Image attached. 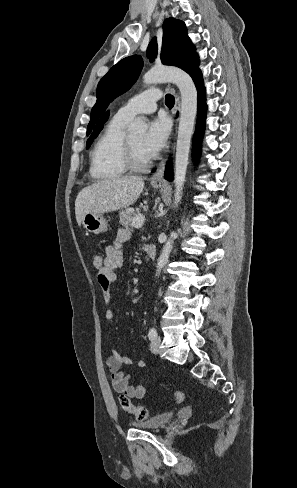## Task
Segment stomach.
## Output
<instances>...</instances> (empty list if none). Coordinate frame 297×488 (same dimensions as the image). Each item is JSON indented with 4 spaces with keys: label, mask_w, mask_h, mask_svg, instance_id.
<instances>
[{
    "label": "stomach",
    "mask_w": 297,
    "mask_h": 488,
    "mask_svg": "<svg viewBox=\"0 0 297 488\" xmlns=\"http://www.w3.org/2000/svg\"><path fill=\"white\" fill-rule=\"evenodd\" d=\"M154 188H158L157 184H153ZM84 228L94 234H99L107 230V222L100 213H86L82 219Z\"/></svg>",
    "instance_id": "stomach-1"
}]
</instances>
